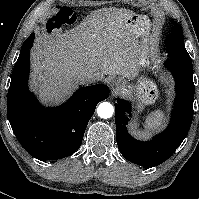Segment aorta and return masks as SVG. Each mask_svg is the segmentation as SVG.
Masks as SVG:
<instances>
[{
  "mask_svg": "<svg viewBox=\"0 0 199 199\" xmlns=\"http://www.w3.org/2000/svg\"><path fill=\"white\" fill-rule=\"evenodd\" d=\"M113 112H114L113 106L109 102H103L99 104L97 108V114L100 118L104 119L110 118L112 117Z\"/></svg>",
  "mask_w": 199,
  "mask_h": 199,
  "instance_id": "aorta-1",
  "label": "aorta"
}]
</instances>
